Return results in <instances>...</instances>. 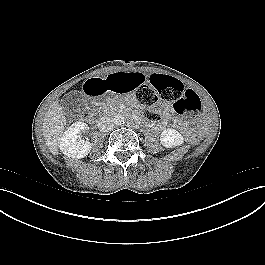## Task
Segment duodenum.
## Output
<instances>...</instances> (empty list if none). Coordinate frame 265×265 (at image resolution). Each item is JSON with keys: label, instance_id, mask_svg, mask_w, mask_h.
<instances>
[{"label": "duodenum", "instance_id": "duodenum-1", "mask_svg": "<svg viewBox=\"0 0 265 265\" xmlns=\"http://www.w3.org/2000/svg\"><path fill=\"white\" fill-rule=\"evenodd\" d=\"M135 121L141 122V120L139 118H137V117H135Z\"/></svg>", "mask_w": 265, "mask_h": 265}]
</instances>
